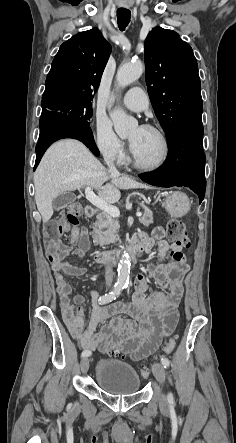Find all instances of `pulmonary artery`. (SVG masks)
Here are the masks:
<instances>
[{
  "instance_id": "e3ab8cb5",
  "label": "pulmonary artery",
  "mask_w": 236,
  "mask_h": 443,
  "mask_svg": "<svg viewBox=\"0 0 236 443\" xmlns=\"http://www.w3.org/2000/svg\"><path fill=\"white\" fill-rule=\"evenodd\" d=\"M123 103L133 111L145 110L149 105L147 95L139 87L129 89L123 97Z\"/></svg>"
}]
</instances>
